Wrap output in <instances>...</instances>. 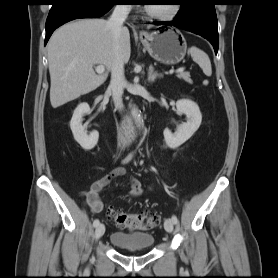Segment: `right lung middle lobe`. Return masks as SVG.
Here are the masks:
<instances>
[{
    "instance_id": "1",
    "label": "right lung middle lobe",
    "mask_w": 278,
    "mask_h": 278,
    "mask_svg": "<svg viewBox=\"0 0 278 278\" xmlns=\"http://www.w3.org/2000/svg\"><path fill=\"white\" fill-rule=\"evenodd\" d=\"M59 0H55V2L54 3H56V2H58ZM102 1H111V0H102Z\"/></svg>"
}]
</instances>
